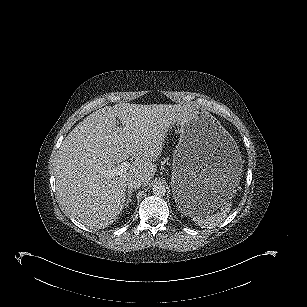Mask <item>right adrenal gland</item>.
I'll return each instance as SVG.
<instances>
[{"instance_id": "right-adrenal-gland-1", "label": "right adrenal gland", "mask_w": 307, "mask_h": 307, "mask_svg": "<svg viewBox=\"0 0 307 307\" xmlns=\"http://www.w3.org/2000/svg\"><path fill=\"white\" fill-rule=\"evenodd\" d=\"M134 192V190H129L128 194H127V199H126V204L125 207L127 208L129 203L131 202V197H132V193Z\"/></svg>"}]
</instances>
